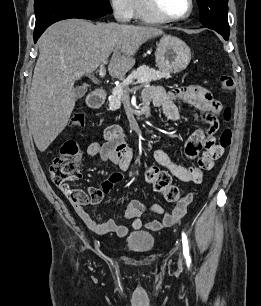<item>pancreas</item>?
<instances>
[{"mask_svg":"<svg viewBox=\"0 0 261 306\" xmlns=\"http://www.w3.org/2000/svg\"><path fill=\"white\" fill-rule=\"evenodd\" d=\"M171 75L166 71H157L147 66H141L137 70L133 71L119 86L112 90V95L109 100V108L112 110L119 109L121 103L129 98L130 88L129 85L137 80L138 83L150 84L151 81H157L160 79H168Z\"/></svg>","mask_w":261,"mask_h":306,"instance_id":"obj_1","label":"pancreas"}]
</instances>
